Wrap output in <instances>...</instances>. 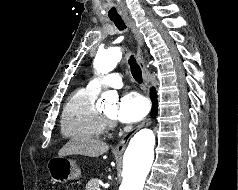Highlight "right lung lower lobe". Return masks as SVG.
<instances>
[{
    "label": "right lung lower lobe",
    "mask_w": 238,
    "mask_h": 190,
    "mask_svg": "<svg viewBox=\"0 0 238 190\" xmlns=\"http://www.w3.org/2000/svg\"><path fill=\"white\" fill-rule=\"evenodd\" d=\"M151 98L153 101L152 116L153 118H155V116L157 115V100H156V93L154 88H152L151 90Z\"/></svg>",
    "instance_id": "98d812e1"
}]
</instances>
